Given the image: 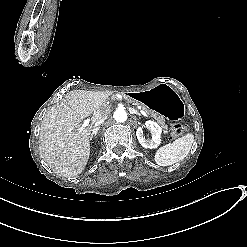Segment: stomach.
I'll use <instances>...</instances> for the list:
<instances>
[{
	"label": "stomach",
	"instance_id": "obj_1",
	"mask_svg": "<svg viewBox=\"0 0 247 247\" xmlns=\"http://www.w3.org/2000/svg\"><path fill=\"white\" fill-rule=\"evenodd\" d=\"M128 95L171 121L181 120L186 110L183 100L166 84H158L150 89Z\"/></svg>",
	"mask_w": 247,
	"mask_h": 247
}]
</instances>
